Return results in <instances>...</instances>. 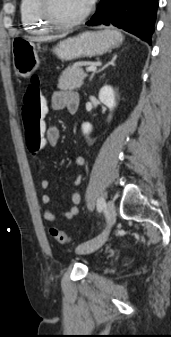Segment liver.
I'll use <instances>...</instances> for the list:
<instances>
[{"mask_svg": "<svg viewBox=\"0 0 171 337\" xmlns=\"http://www.w3.org/2000/svg\"><path fill=\"white\" fill-rule=\"evenodd\" d=\"M59 36H40V37H31L29 38L30 41H48L52 39H56Z\"/></svg>", "mask_w": 171, "mask_h": 337, "instance_id": "liver-1", "label": "liver"}]
</instances>
